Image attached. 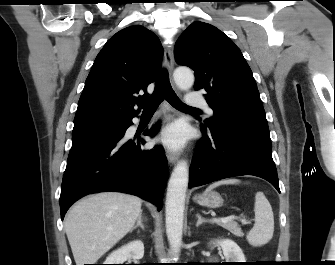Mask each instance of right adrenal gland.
<instances>
[{
    "label": "right adrenal gland",
    "mask_w": 335,
    "mask_h": 265,
    "mask_svg": "<svg viewBox=\"0 0 335 265\" xmlns=\"http://www.w3.org/2000/svg\"><path fill=\"white\" fill-rule=\"evenodd\" d=\"M137 227H140L142 230H144V225L142 223V212L140 213L136 225L131 229V232L135 230Z\"/></svg>",
    "instance_id": "1"
}]
</instances>
